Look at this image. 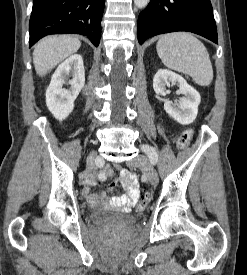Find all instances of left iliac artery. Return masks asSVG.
<instances>
[{"label":"left iliac artery","instance_id":"44dca946","mask_svg":"<svg viewBox=\"0 0 247 275\" xmlns=\"http://www.w3.org/2000/svg\"><path fill=\"white\" fill-rule=\"evenodd\" d=\"M141 149L148 155L150 162L155 165L158 161V154L156 150L149 145H142Z\"/></svg>","mask_w":247,"mask_h":275}]
</instances>
